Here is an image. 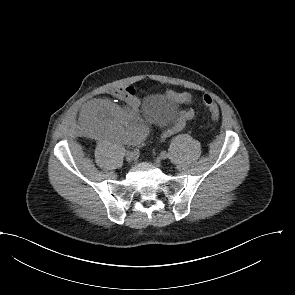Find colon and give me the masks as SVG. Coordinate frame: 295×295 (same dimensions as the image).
Returning <instances> with one entry per match:
<instances>
[{
    "instance_id": "obj_1",
    "label": "colon",
    "mask_w": 295,
    "mask_h": 295,
    "mask_svg": "<svg viewBox=\"0 0 295 295\" xmlns=\"http://www.w3.org/2000/svg\"><path fill=\"white\" fill-rule=\"evenodd\" d=\"M202 101H203L204 105L208 108L212 119L217 120L219 118L220 111H219V107L216 104V102L214 101V99L209 95H204L202 97Z\"/></svg>"
}]
</instances>
